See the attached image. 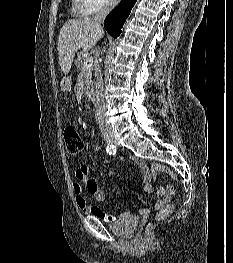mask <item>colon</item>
<instances>
[{"mask_svg": "<svg viewBox=\"0 0 233 263\" xmlns=\"http://www.w3.org/2000/svg\"><path fill=\"white\" fill-rule=\"evenodd\" d=\"M63 136L67 153L71 156L78 155L83 149V141L77 129L72 126L66 127ZM152 170L153 172L160 171L173 175L169 169L162 165H155L153 166ZM172 209L173 206L170 204L161 208L156 215V220L159 221L165 219L172 212Z\"/></svg>", "mask_w": 233, "mask_h": 263, "instance_id": "5ec220e1", "label": "colon"}]
</instances>
